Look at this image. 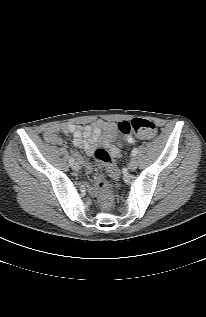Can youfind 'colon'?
I'll use <instances>...</instances> for the list:
<instances>
[{
	"label": "colon",
	"instance_id": "1",
	"mask_svg": "<svg viewBox=\"0 0 206 317\" xmlns=\"http://www.w3.org/2000/svg\"><path fill=\"white\" fill-rule=\"evenodd\" d=\"M117 133L120 135H129L130 133H135L138 137L142 139H153L156 136L157 130L156 125L147 119L143 118H133L129 121L120 122L116 129ZM95 159L103 165L109 174L117 179L119 176V170L117 166L113 163L111 154L109 151L103 148H97L94 152ZM96 188L99 192V200L101 205L108 209L112 205V194L111 185L104 178L103 175L98 176L96 181Z\"/></svg>",
	"mask_w": 206,
	"mask_h": 317
}]
</instances>
